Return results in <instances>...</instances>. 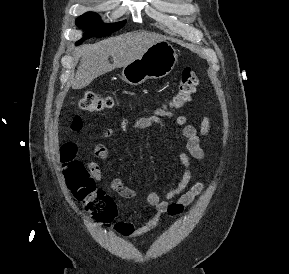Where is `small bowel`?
Returning a JSON list of instances; mask_svg holds the SVG:
<instances>
[{
	"label": "small bowel",
	"instance_id": "obj_1",
	"mask_svg": "<svg viewBox=\"0 0 289 274\" xmlns=\"http://www.w3.org/2000/svg\"><path fill=\"white\" fill-rule=\"evenodd\" d=\"M167 119H174L176 126L180 129L182 137L186 140L185 150L181 151L179 154L180 162L184 167L180 182L175 188L165 194L164 199H162L156 191L149 192L146 201L151 208V212L148 215L146 222L140 226L125 221L116 223L115 230L122 236L136 237L150 232L159 224L163 214H180L204 189V185L201 182L195 183L188 190L187 187L192 177L191 159L202 161L205 158V152L201 143L209 132L211 125L210 118L204 116L199 129H197L195 126L187 123L186 116L174 115V113L168 109L157 108L152 115L139 117L134 123V128L146 129L155 124H165ZM128 125V121L122 119L118 123V128L121 131H125L127 130ZM103 135L106 139H112L114 130L108 128L104 131ZM94 154L99 159H106L109 156V149L106 145L99 143L94 146ZM87 167L95 180H100L102 178L101 168L96 162H88ZM110 187L116 194L123 198H133L136 195L135 190L126 186L119 178L113 179Z\"/></svg>",
	"mask_w": 289,
	"mask_h": 274
}]
</instances>
